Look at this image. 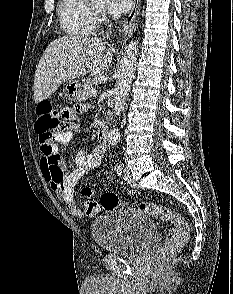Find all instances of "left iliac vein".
<instances>
[{
    "label": "left iliac vein",
    "instance_id": "left-iliac-vein-1",
    "mask_svg": "<svg viewBox=\"0 0 233 294\" xmlns=\"http://www.w3.org/2000/svg\"><path fill=\"white\" fill-rule=\"evenodd\" d=\"M123 178L127 182V184H129L131 187H136L134 181L132 180L131 172H130L129 168H127V167L124 168Z\"/></svg>",
    "mask_w": 233,
    "mask_h": 294
}]
</instances>
